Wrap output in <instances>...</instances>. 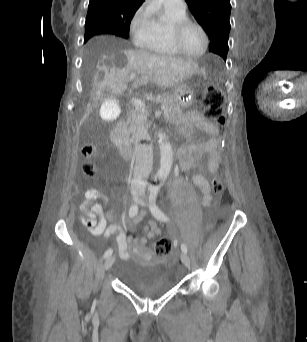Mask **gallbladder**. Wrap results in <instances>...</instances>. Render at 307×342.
I'll return each instance as SVG.
<instances>
[{
	"instance_id": "bac80fb5",
	"label": "gallbladder",
	"mask_w": 307,
	"mask_h": 342,
	"mask_svg": "<svg viewBox=\"0 0 307 342\" xmlns=\"http://www.w3.org/2000/svg\"><path fill=\"white\" fill-rule=\"evenodd\" d=\"M119 100L118 99H105L101 105L103 118L106 123H111L113 118H119Z\"/></svg>"
}]
</instances>
